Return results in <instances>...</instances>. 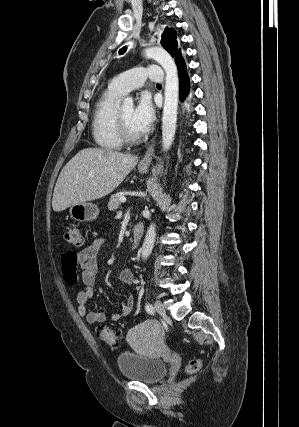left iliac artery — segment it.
Masks as SVG:
<instances>
[{"label": "left iliac artery", "mask_w": 299, "mask_h": 427, "mask_svg": "<svg viewBox=\"0 0 299 427\" xmlns=\"http://www.w3.org/2000/svg\"><path fill=\"white\" fill-rule=\"evenodd\" d=\"M145 309H146V311H147L149 314H154V308H153V306H152L150 303H147V304L145 305Z\"/></svg>", "instance_id": "44dca946"}]
</instances>
